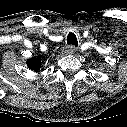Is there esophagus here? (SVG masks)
Segmentation results:
<instances>
[{"label":"esophagus","instance_id":"1","mask_svg":"<svg viewBox=\"0 0 127 127\" xmlns=\"http://www.w3.org/2000/svg\"><path fill=\"white\" fill-rule=\"evenodd\" d=\"M75 51H76V48L72 45H69L63 48L62 53L65 55H72L75 53Z\"/></svg>","mask_w":127,"mask_h":127}]
</instances>
